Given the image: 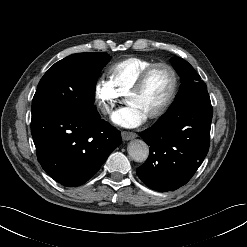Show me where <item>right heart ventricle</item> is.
<instances>
[{"mask_svg":"<svg viewBox=\"0 0 247 247\" xmlns=\"http://www.w3.org/2000/svg\"><path fill=\"white\" fill-rule=\"evenodd\" d=\"M152 63L151 60L141 57L123 59L110 67L109 83L120 96H124L135 84L141 72Z\"/></svg>","mask_w":247,"mask_h":247,"instance_id":"1","label":"right heart ventricle"}]
</instances>
